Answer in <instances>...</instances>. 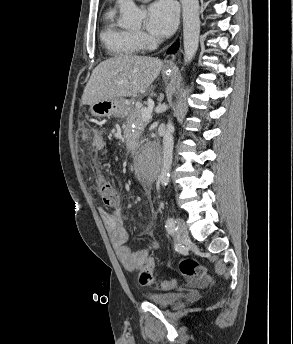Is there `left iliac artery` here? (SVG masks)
Returning <instances> with one entry per match:
<instances>
[{
  "mask_svg": "<svg viewBox=\"0 0 293 344\" xmlns=\"http://www.w3.org/2000/svg\"><path fill=\"white\" fill-rule=\"evenodd\" d=\"M165 227L169 233H173L175 230H177L178 225L176 220L170 217L167 219Z\"/></svg>",
  "mask_w": 293,
  "mask_h": 344,
  "instance_id": "obj_1",
  "label": "left iliac artery"
}]
</instances>
